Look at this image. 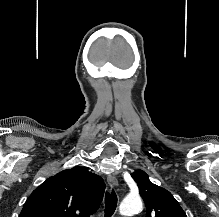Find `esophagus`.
<instances>
[{"label":"esophagus","instance_id":"obj_1","mask_svg":"<svg viewBox=\"0 0 219 217\" xmlns=\"http://www.w3.org/2000/svg\"><path fill=\"white\" fill-rule=\"evenodd\" d=\"M107 184L109 188H113L118 185V180L114 175H109L107 177Z\"/></svg>","mask_w":219,"mask_h":217}]
</instances>
